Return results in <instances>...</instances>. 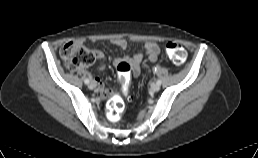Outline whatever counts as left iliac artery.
<instances>
[{
  "mask_svg": "<svg viewBox=\"0 0 258 158\" xmlns=\"http://www.w3.org/2000/svg\"><path fill=\"white\" fill-rule=\"evenodd\" d=\"M158 85H161V80H157V82H156Z\"/></svg>",
  "mask_w": 258,
  "mask_h": 158,
  "instance_id": "44dca946",
  "label": "left iliac artery"
}]
</instances>
